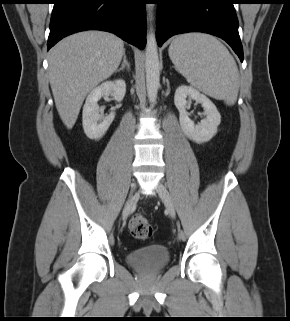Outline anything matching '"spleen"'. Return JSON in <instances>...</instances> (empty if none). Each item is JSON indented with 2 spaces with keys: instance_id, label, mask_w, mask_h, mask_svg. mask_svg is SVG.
I'll use <instances>...</instances> for the list:
<instances>
[{
  "instance_id": "spleen-1",
  "label": "spleen",
  "mask_w": 290,
  "mask_h": 321,
  "mask_svg": "<svg viewBox=\"0 0 290 321\" xmlns=\"http://www.w3.org/2000/svg\"><path fill=\"white\" fill-rule=\"evenodd\" d=\"M169 56L193 87L228 105L235 103L238 68L227 48L215 37L202 33L180 35L172 41Z\"/></svg>"
}]
</instances>
